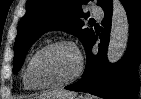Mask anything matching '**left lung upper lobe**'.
Segmentation results:
<instances>
[{
	"label": "left lung upper lobe",
	"instance_id": "1",
	"mask_svg": "<svg viewBox=\"0 0 141 99\" xmlns=\"http://www.w3.org/2000/svg\"><path fill=\"white\" fill-rule=\"evenodd\" d=\"M89 0H28L26 14L18 24L14 45L13 73L16 74L32 44L48 30H64L75 34L84 47L94 36L92 29H82L81 18H86L82 5ZM111 0H98L97 5L105 8Z\"/></svg>",
	"mask_w": 141,
	"mask_h": 99
}]
</instances>
